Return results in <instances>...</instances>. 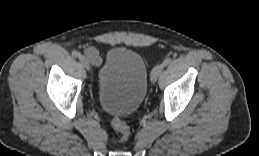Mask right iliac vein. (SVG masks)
Segmentation results:
<instances>
[{"label": "right iliac vein", "instance_id": "right-iliac-vein-1", "mask_svg": "<svg viewBox=\"0 0 259 156\" xmlns=\"http://www.w3.org/2000/svg\"><path fill=\"white\" fill-rule=\"evenodd\" d=\"M79 60H80V63L82 64V66H83L85 69L90 70V64H89V62H88V59H87L85 56L81 55V56L79 57Z\"/></svg>", "mask_w": 259, "mask_h": 156}]
</instances>
